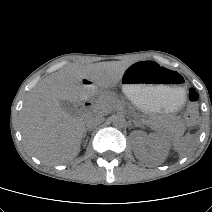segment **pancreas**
Wrapping results in <instances>:
<instances>
[{
  "label": "pancreas",
  "mask_w": 212,
  "mask_h": 212,
  "mask_svg": "<svg viewBox=\"0 0 212 212\" xmlns=\"http://www.w3.org/2000/svg\"><path fill=\"white\" fill-rule=\"evenodd\" d=\"M101 100H102V102H104L107 105H116L118 103V100L115 97L111 96V95H104L101 98Z\"/></svg>",
  "instance_id": "pancreas-1"
}]
</instances>
